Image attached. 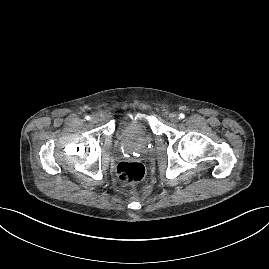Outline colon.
<instances>
[{
    "label": "colon",
    "instance_id": "obj_1",
    "mask_svg": "<svg viewBox=\"0 0 269 269\" xmlns=\"http://www.w3.org/2000/svg\"><path fill=\"white\" fill-rule=\"evenodd\" d=\"M144 166L137 161H123L116 166L117 179L124 185H133L143 179Z\"/></svg>",
    "mask_w": 269,
    "mask_h": 269
}]
</instances>
